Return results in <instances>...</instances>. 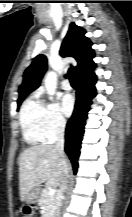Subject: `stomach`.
<instances>
[{
  "mask_svg": "<svg viewBox=\"0 0 132 217\" xmlns=\"http://www.w3.org/2000/svg\"><path fill=\"white\" fill-rule=\"evenodd\" d=\"M41 196V188L39 186L34 187L30 190V192L26 195L25 201L27 204H33L38 202Z\"/></svg>",
  "mask_w": 132,
  "mask_h": 217,
  "instance_id": "0dacf381",
  "label": "stomach"
}]
</instances>
